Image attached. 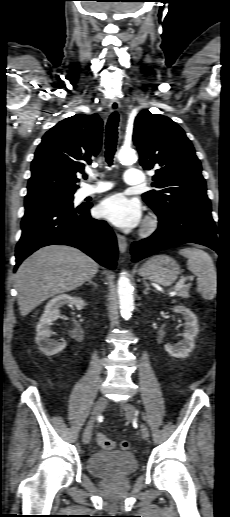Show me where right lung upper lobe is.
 I'll use <instances>...</instances> for the list:
<instances>
[{"instance_id":"obj_1","label":"right lung upper lobe","mask_w":230,"mask_h":517,"mask_svg":"<svg viewBox=\"0 0 230 517\" xmlns=\"http://www.w3.org/2000/svg\"><path fill=\"white\" fill-rule=\"evenodd\" d=\"M101 140L102 120L96 114H76L51 128L35 152L25 203L74 194L76 173L98 154Z\"/></svg>"}]
</instances>
